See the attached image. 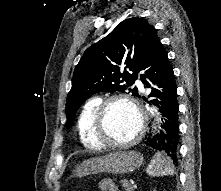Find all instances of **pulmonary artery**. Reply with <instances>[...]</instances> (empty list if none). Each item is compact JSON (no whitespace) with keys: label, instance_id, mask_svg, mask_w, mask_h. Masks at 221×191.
<instances>
[{"label":"pulmonary artery","instance_id":"e3ab8cb5","mask_svg":"<svg viewBox=\"0 0 221 191\" xmlns=\"http://www.w3.org/2000/svg\"><path fill=\"white\" fill-rule=\"evenodd\" d=\"M136 85H137L139 88H142V83H141L139 80H136Z\"/></svg>","mask_w":221,"mask_h":191}]
</instances>
